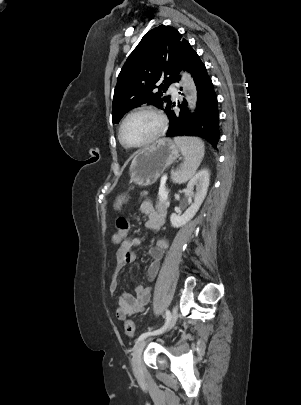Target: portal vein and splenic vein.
Wrapping results in <instances>:
<instances>
[{
  "instance_id": "1",
  "label": "portal vein and splenic vein",
  "mask_w": 301,
  "mask_h": 405,
  "mask_svg": "<svg viewBox=\"0 0 301 405\" xmlns=\"http://www.w3.org/2000/svg\"><path fill=\"white\" fill-rule=\"evenodd\" d=\"M166 179H167V176L164 175V176L162 177V182L165 183ZM159 195L161 196L162 199H166V198H167V192H166L165 188H161V189L159 190Z\"/></svg>"
}]
</instances>
